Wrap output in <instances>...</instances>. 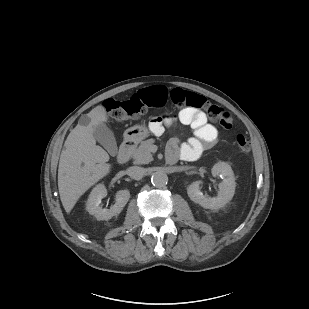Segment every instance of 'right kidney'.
Wrapping results in <instances>:
<instances>
[{
    "instance_id": "right-kidney-1",
    "label": "right kidney",
    "mask_w": 309,
    "mask_h": 309,
    "mask_svg": "<svg viewBox=\"0 0 309 309\" xmlns=\"http://www.w3.org/2000/svg\"><path fill=\"white\" fill-rule=\"evenodd\" d=\"M107 196V190L103 184H98L93 188L86 203V210L94 215L97 220H109L113 216L118 215L127 204L130 198L128 190L117 191L115 197L116 202L110 209H103L100 206L101 200Z\"/></svg>"
}]
</instances>
